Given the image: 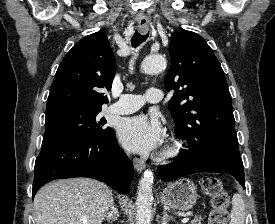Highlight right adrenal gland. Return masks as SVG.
<instances>
[{
	"label": "right adrenal gland",
	"instance_id": "obj_1",
	"mask_svg": "<svg viewBox=\"0 0 275 224\" xmlns=\"http://www.w3.org/2000/svg\"><path fill=\"white\" fill-rule=\"evenodd\" d=\"M110 208H111V210L106 215V219L109 223L112 222V221L117 220L118 217H119V211L115 207L114 202L111 204Z\"/></svg>",
	"mask_w": 275,
	"mask_h": 224
}]
</instances>
